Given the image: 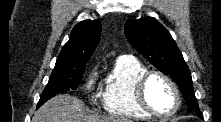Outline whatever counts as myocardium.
Returning a JSON list of instances; mask_svg holds the SVG:
<instances>
[{
	"instance_id": "obj_1",
	"label": "myocardium",
	"mask_w": 221,
	"mask_h": 122,
	"mask_svg": "<svg viewBox=\"0 0 221 122\" xmlns=\"http://www.w3.org/2000/svg\"><path fill=\"white\" fill-rule=\"evenodd\" d=\"M156 76L166 81L174 93L176 103H175L174 109L169 113L157 112L151 107V105L148 102L147 95H146L147 84L151 78L156 77ZM135 97L139 106L146 113L156 118H170L174 116L179 111L181 107V102H182L180 91L178 89V86L174 82V80L170 76H168L167 74L159 70L147 71L138 78V80L135 83Z\"/></svg>"
}]
</instances>
